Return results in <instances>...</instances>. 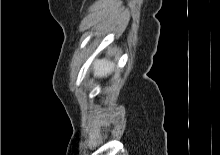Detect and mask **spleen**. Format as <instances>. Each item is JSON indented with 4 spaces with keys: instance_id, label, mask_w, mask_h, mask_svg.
<instances>
[{
    "instance_id": "spleen-1",
    "label": "spleen",
    "mask_w": 220,
    "mask_h": 155,
    "mask_svg": "<svg viewBox=\"0 0 220 155\" xmlns=\"http://www.w3.org/2000/svg\"><path fill=\"white\" fill-rule=\"evenodd\" d=\"M114 69V63L106 59L95 60L93 63L94 76L104 77L110 74Z\"/></svg>"
}]
</instances>
